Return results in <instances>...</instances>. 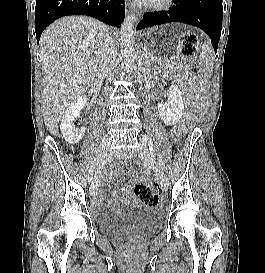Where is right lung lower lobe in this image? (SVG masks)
Here are the masks:
<instances>
[{
	"label": "right lung lower lobe",
	"instance_id": "right-lung-lower-lobe-1",
	"mask_svg": "<svg viewBox=\"0 0 265 273\" xmlns=\"http://www.w3.org/2000/svg\"><path fill=\"white\" fill-rule=\"evenodd\" d=\"M124 0H36L35 32L39 42L43 30L67 15H88L119 27L125 17Z\"/></svg>",
	"mask_w": 265,
	"mask_h": 273
}]
</instances>
